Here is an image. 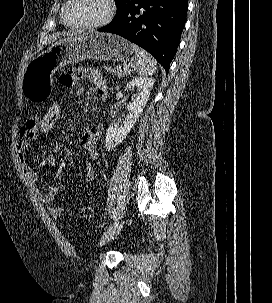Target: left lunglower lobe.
I'll use <instances>...</instances> for the list:
<instances>
[{
    "label": "left lung lower lobe",
    "instance_id": "obj_1",
    "mask_svg": "<svg viewBox=\"0 0 272 303\" xmlns=\"http://www.w3.org/2000/svg\"><path fill=\"white\" fill-rule=\"evenodd\" d=\"M188 0H137L125 14L100 28L150 52L168 72L185 26Z\"/></svg>",
    "mask_w": 272,
    "mask_h": 303
}]
</instances>
